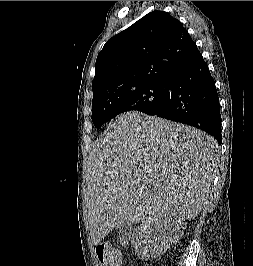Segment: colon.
Returning <instances> with one entry per match:
<instances>
[{"mask_svg": "<svg viewBox=\"0 0 253 266\" xmlns=\"http://www.w3.org/2000/svg\"><path fill=\"white\" fill-rule=\"evenodd\" d=\"M96 257L100 266H119L121 253L108 243H101L96 247Z\"/></svg>", "mask_w": 253, "mask_h": 266, "instance_id": "1", "label": "colon"}]
</instances>
